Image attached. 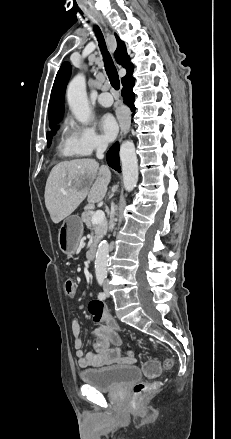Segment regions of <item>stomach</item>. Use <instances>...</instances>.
<instances>
[{
  "mask_svg": "<svg viewBox=\"0 0 231 439\" xmlns=\"http://www.w3.org/2000/svg\"><path fill=\"white\" fill-rule=\"evenodd\" d=\"M83 229L79 216L72 215L64 220L58 233L59 248L64 254L72 255L77 251Z\"/></svg>",
  "mask_w": 231,
  "mask_h": 439,
  "instance_id": "0dacf381",
  "label": "stomach"
}]
</instances>
